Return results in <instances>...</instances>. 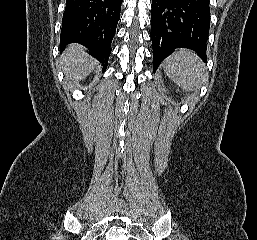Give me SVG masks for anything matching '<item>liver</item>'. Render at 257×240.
I'll list each match as a JSON object with an SVG mask.
<instances>
[{
    "label": "liver",
    "instance_id": "liver-1",
    "mask_svg": "<svg viewBox=\"0 0 257 240\" xmlns=\"http://www.w3.org/2000/svg\"><path fill=\"white\" fill-rule=\"evenodd\" d=\"M61 65L66 79L79 81L91 73L96 61L88 55L84 47L71 44L61 55Z\"/></svg>",
    "mask_w": 257,
    "mask_h": 240
}]
</instances>
